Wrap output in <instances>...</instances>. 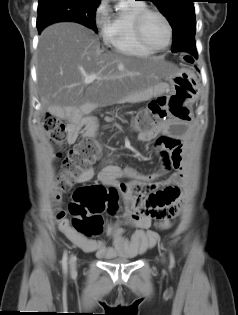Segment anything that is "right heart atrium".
Returning a JSON list of instances; mask_svg holds the SVG:
<instances>
[{
    "mask_svg": "<svg viewBox=\"0 0 238 315\" xmlns=\"http://www.w3.org/2000/svg\"><path fill=\"white\" fill-rule=\"evenodd\" d=\"M108 12L109 9L106 0H101L94 11V23L97 27L103 29L108 20Z\"/></svg>",
    "mask_w": 238,
    "mask_h": 315,
    "instance_id": "right-heart-atrium-1",
    "label": "right heart atrium"
}]
</instances>
